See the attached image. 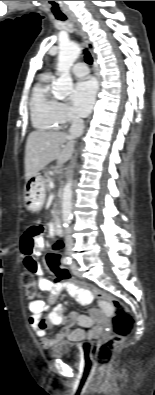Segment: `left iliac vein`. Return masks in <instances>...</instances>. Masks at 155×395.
Instances as JSON below:
<instances>
[{
	"mask_svg": "<svg viewBox=\"0 0 155 395\" xmlns=\"http://www.w3.org/2000/svg\"><path fill=\"white\" fill-rule=\"evenodd\" d=\"M71 270H72V273H73L75 276H79V275H80V274H79V271H78V268H77V265H76L75 263L72 264Z\"/></svg>",
	"mask_w": 155,
	"mask_h": 395,
	"instance_id": "1",
	"label": "left iliac vein"
}]
</instances>
